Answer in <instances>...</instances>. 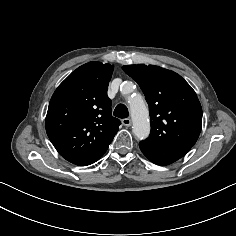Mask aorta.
I'll return each mask as SVG.
<instances>
[{
	"label": "aorta",
	"instance_id": "obj_1",
	"mask_svg": "<svg viewBox=\"0 0 236 236\" xmlns=\"http://www.w3.org/2000/svg\"><path fill=\"white\" fill-rule=\"evenodd\" d=\"M133 84L127 82L123 86V90L131 89ZM131 118L133 121V134L139 139L143 140L148 137L150 133L149 113L148 109L141 98L130 103Z\"/></svg>",
	"mask_w": 236,
	"mask_h": 236
}]
</instances>
